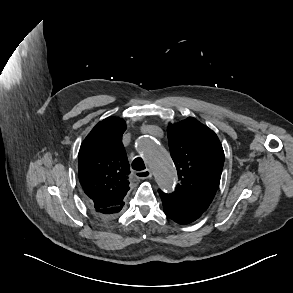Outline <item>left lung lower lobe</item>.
I'll use <instances>...</instances> for the list:
<instances>
[{
  "instance_id": "obj_1",
  "label": "left lung lower lobe",
  "mask_w": 293,
  "mask_h": 293,
  "mask_svg": "<svg viewBox=\"0 0 293 293\" xmlns=\"http://www.w3.org/2000/svg\"><path fill=\"white\" fill-rule=\"evenodd\" d=\"M159 195L162 199L165 214L173 221L179 224H188L201 216V213L191 210L188 207L178 203L169 195L164 194L161 191H159Z\"/></svg>"
}]
</instances>
